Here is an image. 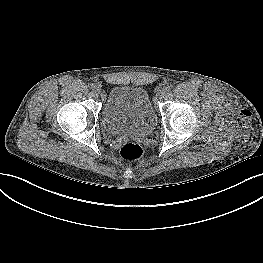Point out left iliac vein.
Listing matches in <instances>:
<instances>
[{"label": "left iliac vein", "instance_id": "obj_1", "mask_svg": "<svg viewBox=\"0 0 263 263\" xmlns=\"http://www.w3.org/2000/svg\"><path fill=\"white\" fill-rule=\"evenodd\" d=\"M165 95V91L164 90H161L159 93H158V97L161 99L163 98Z\"/></svg>", "mask_w": 263, "mask_h": 263}]
</instances>
